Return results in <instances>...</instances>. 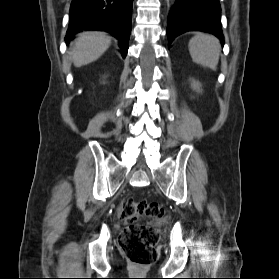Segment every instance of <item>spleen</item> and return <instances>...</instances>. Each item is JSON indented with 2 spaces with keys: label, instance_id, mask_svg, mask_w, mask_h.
Listing matches in <instances>:
<instances>
[{
  "label": "spleen",
  "instance_id": "1",
  "mask_svg": "<svg viewBox=\"0 0 279 279\" xmlns=\"http://www.w3.org/2000/svg\"><path fill=\"white\" fill-rule=\"evenodd\" d=\"M188 47L195 63L212 70L217 69L221 46L216 37L205 33H197L189 41Z\"/></svg>",
  "mask_w": 279,
  "mask_h": 279
}]
</instances>
